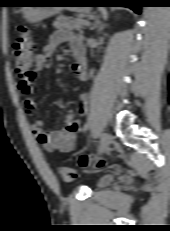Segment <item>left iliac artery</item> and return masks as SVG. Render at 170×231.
Returning <instances> with one entry per match:
<instances>
[{
  "label": "left iliac artery",
  "mask_w": 170,
  "mask_h": 231,
  "mask_svg": "<svg viewBox=\"0 0 170 231\" xmlns=\"http://www.w3.org/2000/svg\"><path fill=\"white\" fill-rule=\"evenodd\" d=\"M88 127H89V125H85L84 128H83V130H84V131L87 130Z\"/></svg>",
  "instance_id": "obj_1"
}]
</instances>
